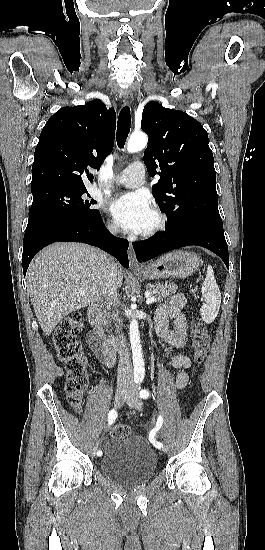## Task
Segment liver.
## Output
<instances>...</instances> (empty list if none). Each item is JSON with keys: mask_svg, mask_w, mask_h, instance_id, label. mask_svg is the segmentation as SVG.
<instances>
[{"mask_svg": "<svg viewBox=\"0 0 265 550\" xmlns=\"http://www.w3.org/2000/svg\"><path fill=\"white\" fill-rule=\"evenodd\" d=\"M108 258L95 247L75 242L54 243L34 257L27 271V286L46 336L66 315L100 300ZM115 266L121 287L123 271L117 262Z\"/></svg>", "mask_w": 265, "mask_h": 550, "instance_id": "6515ba94", "label": "liver"}]
</instances>
